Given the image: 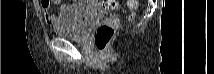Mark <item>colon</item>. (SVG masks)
<instances>
[{
  "instance_id": "colon-1",
  "label": "colon",
  "mask_w": 214,
  "mask_h": 74,
  "mask_svg": "<svg viewBox=\"0 0 214 74\" xmlns=\"http://www.w3.org/2000/svg\"><path fill=\"white\" fill-rule=\"evenodd\" d=\"M101 3L103 7L108 10H114V9H117L118 7L117 1L106 0V1H102ZM127 7L131 11L129 18L133 19L135 16V10L138 7V2L134 0H130L127 2ZM115 27H116V23L110 22V23L102 24L97 29L94 37V43L98 50L105 51L108 48L109 43L113 38Z\"/></svg>"
}]
</instances>
